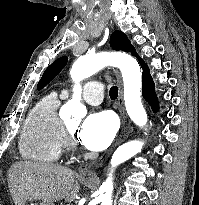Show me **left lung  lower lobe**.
<instances>
[{"instance_id":"obj_1","label":"left lung lower lobe","mask_w":199,"mask_h":205,"mask_svg":"<svg viewBox=\"0 0 199 205\" xmlns=\"http://www.w3.org/2000/svg\"><path fill=\"white\" fill-rule=\"evenodd\" d=\"M128 52H131L134 56L139 59V62L143 69L142 74V94L143 97L151 104L153 111L158 110V101L154 93V84L150 76L148 66L139 58L136 54L134 47L130 44L128 47Z\"/></svg>"}]
</instances>
